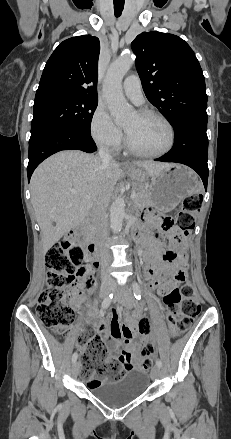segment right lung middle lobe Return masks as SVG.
I'll list each match as a JSON object with an SVG mask.
<instances>
[{
    "mask_svg": "<svg viewBox=\"0 0 231 439\" xmlns=\"http://www.w3.org/2000/svg\"><path fill=\"white\" fill-rule=\"evenodd\" d=\"M97 104V98L70 94H54L35 99L31 137L65 125L90 132V124Z\"/></svg>",
    "mask_w": 231,
    "mask_h": 439,
    "instance_id": "obj_1",
    "label": "right lung middle lobe"
}]
</instances>
